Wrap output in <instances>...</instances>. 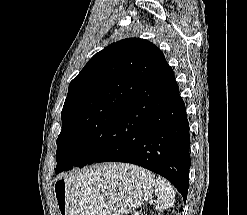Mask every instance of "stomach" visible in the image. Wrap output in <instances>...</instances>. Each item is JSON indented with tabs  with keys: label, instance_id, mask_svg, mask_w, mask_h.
<instances>
[{
	"label": "stomach",
	"instance_id": "obj_1",
	"mask_svg": "<svg viewBox=\"0 0 247 215\" xmlns=\"http://www.w3.org/2000/svg\"><path fill=\"white\" fill-rule=\"evenodd\" d=\"M102 166L54 181L58 215H123L151 198L155 186L151 172L115 164L116 169L107 173Z\"/></svg>",
	"mask_w": 247,
	"mask_h": 215
}]
</instances>
